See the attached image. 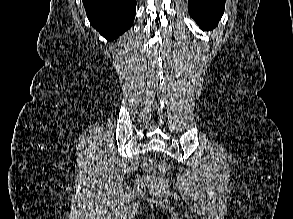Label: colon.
<instances>
[{
  "instance_id": "5ec220e1",
  "label": "colon",
  "mask_w": 293,
  "mask_h": 219,
  "mask_svg": "<svg viewBox=\"0 0 293 219\" xmlns=\"http://www.w3.org/2000/svg\"><path fill=\"white\" fill-rule=\"evenodd\" d=\"M144 167L147 169V170H157L158 174L159 175H163L166 170H167V166L165 164H156L152 159H147L145 162H144ZM135 186H136V189L138 191H144L145 190V180L142 178V177H139L137 180H136V183H135Z\"/></svg>"
}]
</instances>
